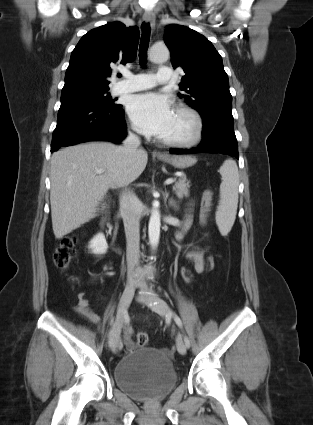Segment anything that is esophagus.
I'll return each instance as SVG.
<instances>
[{
	"instance_id": "34e87169",
	"label": "esophagus",
	"mask_w": 313,
	"mask_h": 425,
	"mask_svg": "<svg viewBox=\"0 0 313 425\" xmlns=\"http://www.w3.org/2000/svg\"><path fill=\"white\" fill-rule=\"evenodd\" d=\"M143 20L145 22H149L151 24L152 27L155 26V15L153 12L151 11H146L143 15ZM153 154L157 157H163L165 156L162 152L159 151H154Z\"/></svg>"
}]
</instances>
